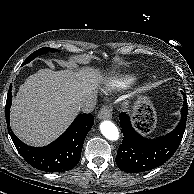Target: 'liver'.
Segmentation results:
<instances>
[{
	"mask_svg": "<svg viewBox=\"0 0 194 194\" xmlns=\"http://www.w3.org/2000/svg\"><path fill=\"white\" fill-rule=\"evenodd\" d=\"M106 80L105 73L90 67L39 70L26 79L13 100V131L27 144H48L77 116L79 103L95 96L98 86Z\"/></svg>",
	"mask_w": 194,
	"mask_h": 194,
	"instance_id": "1",
	"label": "liver"
}]
</instances>
